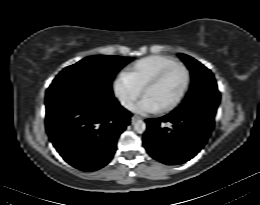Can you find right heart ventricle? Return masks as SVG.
I'll use <instances>...</instances> for the list:
<instances>
[{"mask_svg":"<svg viewBox=\"0 0 260 205\" xmlns=\"http://www.w3.org/2000/svg\"><path fill=\"white\" fill-rule=\"evenodd\" d=\"M173 58L161 55L145 57L135 63L125 77L139 89H143L145 84L160 70L176 63Z\"/></svg>","mask_w":260,"mask_h":205,"instance_id":"obj_1","label":"right heart ventricle"}]
</instances>
